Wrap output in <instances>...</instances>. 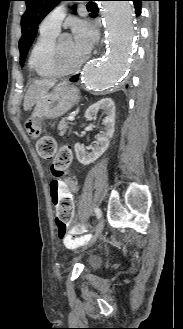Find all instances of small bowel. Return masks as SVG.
I'll use <instances>...</instances> for the list:
<instances>
[{
	"mask_svg": "<svg viewBox=\"0 0 183 329\" xmlns=\"http://www.w3.org/2000/svg\"><path fill=\"white\" fill-rule=\"evenodd\" d=\"M47 189H49L50 199H52L54 218H75L77 183L71 179L63 181L62 178H50L47 182ZM83 239L84 237L69 236L63 240V243L67 248L74 249Z\"/></svg>",
	"mask_w": 183,
	"mask_h": 329,
	"instance_id": "obj_1",
	"label": "small bowel"
}]
</instances>
